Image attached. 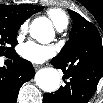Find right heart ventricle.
I'll list each match as a JSON object with an SVG mask.
<instances>
[{
  "label": "right heart ventricle",
  "mask_w": 103,
  "mask_h": 103,
  "mask_svg": "<svg viewBox=\"0 0 103 103\" xmlns=\"http://www.w3.org/2000/svg\"><path fill=\"white\" fill-rule=\"evenodd\" d=\"M47 14L58 30H63L68 25V17L62 10L52 8L48 10Z\"/></svg>",
  "instance_id": "obj_1"
}]
</instances>
